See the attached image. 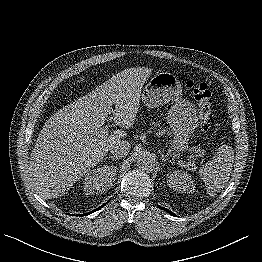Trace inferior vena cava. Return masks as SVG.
<instances>
[{"label":"inferior vena cava","instance_id":"1","mask_svg":"<svg viewBox=\"0 0 262 262\" xmlns=\"http://www.w3.org/2000/svg\"><path fill=\"white\" fill-rule=\"evenodd\" d=\"M130 148L129 142L120 140L111 146L110 152L114 157L122 158L128 155Z\"/></svg>","mask_w":262,"mask_h":262}]
</instances>
